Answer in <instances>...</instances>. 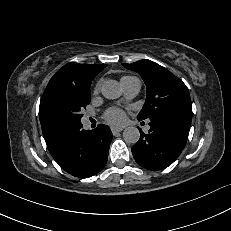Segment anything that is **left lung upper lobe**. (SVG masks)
Listing matches in <instances>:
<instances>
[{
  "instance_id": "obj_1",
  "label": "left lung upper lobe",
  "mask_w": 231,
  "mask_h": 231,
  "mask_svg": "<svg viewBox=\"0 0 231 231\" xmlns=\"http://www.w3.org/2000/svg\"><path fill=\"white\" fill-rule=\"evenodd\" d=\"M122 65L139 73L147 87L146 102L137 116L139 121L151 119L158 114L192 118L188 88L169 70L147 59Z\"/></svg>"
}]
</instances>
